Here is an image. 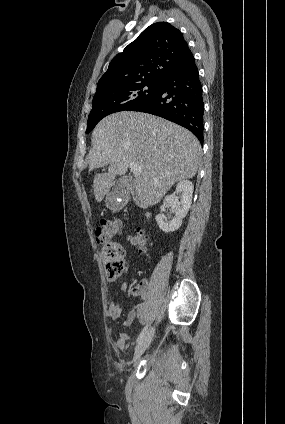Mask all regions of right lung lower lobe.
Wrapping results in <instances>:
<instances>
[{
	"label": "right lung lower lobe",
	"mask_w": 285,
	"mask_h": 424,
	"mask_svg": "<svg viewBox=\"0 0 285 424\" xmlns=\"http://www.w3.org/2000/svg\"><path fill=\"white\" fill-rule=\"evenodd\" d=\"M131 111L150 113L177 123L190 130L203 144L204 103L195 60L164 78L160 90Z\"/></svg>",
	"instance_id": "1"
}]
</instances>
